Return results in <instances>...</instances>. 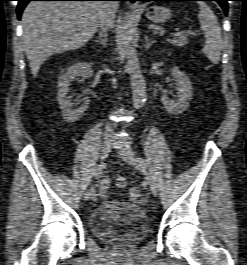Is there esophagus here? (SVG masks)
<instances>
[{
	"label": "esophagus",
	"instance_id": "1",
	"mask_svg": "<svg viewBox=\"0 0 247 265\" xmlns=\"http://www.w3.org/2000/svg\"><path fill=\"white\" fill-rule=\"evenodd\" d=\"M128 6L134 10L138 8V4L134 0H131V3H129Z\"/></svg>",
	"mask_w": 247,
	"mask_h": 265
}]
</instances>
